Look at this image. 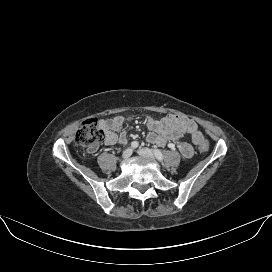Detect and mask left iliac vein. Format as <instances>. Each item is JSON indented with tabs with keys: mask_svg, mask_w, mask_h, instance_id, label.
Segmentation results:
<instances>
[{
	"mask_svg": "<svg viewBox=\"0 0 272 272\" xmlns=\"http://www.w3.org/2000/svg\"><path fill=\"white\" fill-rule=\"evenodd\" d=\"M138 153H139V155H141L143 157H147L150 159L154 158L153 152L148 148H141L138 150Z\"/></svg>",
	"mask_w": 272,
	"mask_h": 272,
	"instance_id": "1",
	"label": "left iliac vein"
}]
</instances>
